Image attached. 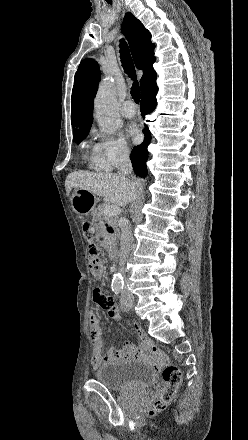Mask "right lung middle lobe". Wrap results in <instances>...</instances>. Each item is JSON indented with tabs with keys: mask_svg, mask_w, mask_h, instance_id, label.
<instances>
[{
	"mask_svg": "<svg viewBox=\"0 0 248 440\" xmlns=\"http://www.w3.org/2000/svg\"><path fill=\"white\" fill-rule=\"evenodd\" d=\"M88 133L89 130L75 133L73 139L75 142L80 143L87 136Z\"/></svg>",
	"mask_w": 248,
	"mask_h": 440,
	"instance_id": "dd1d6c3e",
	"label": "right lung middle lobe"
}]
</instances>
